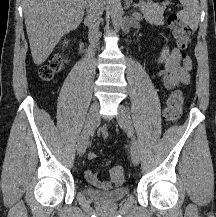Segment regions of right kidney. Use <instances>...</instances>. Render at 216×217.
Listing matches in <instances>:
<instances>
[{"instance_id": "right-kidney-1", "label": "right kidney", "mask_w": 216, "mask_h": 217, "mask_svg": "<svg viewBox=\"0 0 216 217\" xmlns=\"http://www.w3.org/2000/svg\"><path fill=\"white\" fill-rule=\"evenodd\" d=\"M64 44H67L66 40L64 41Z\"/></svg>"}]
</instances>
